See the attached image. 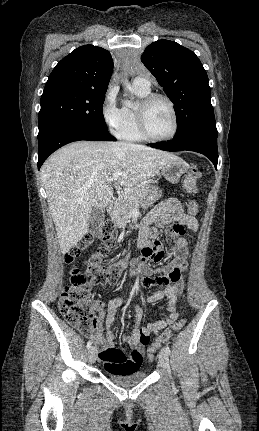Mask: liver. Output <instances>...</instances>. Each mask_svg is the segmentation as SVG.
Listing matches in <instances>:
<instances>
[{
    "label": "liver",
    "mask_w": 259,
    "mask_h": 431,
    "mask_svg": "<svg viewBox=\"0 0 259 431\" xmlns=\"http://www.w3.org/2000/svg\"><path fill=\"white\" fill-rule=\"evenodd\" d=\"M178 158L127 142L77 141L53 153L41 168V179L62 253L88 232L92 210L111 201L113 188L107 179L112 174L121 171L117 182L130 189Z\"/></svg>",
    "instance_id": "liver-1"
}]
</instances>
